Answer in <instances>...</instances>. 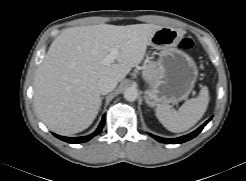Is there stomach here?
<instances>
[{
    "label": "stomach",
    "instance_id": "0dacf381",
    "mask_svg": "<svg viewBox=\"0 0 246 181\" xmlns=\"http://www.w3.org/2000/svg\"><path fill=\"white\" fill-rule=\"evenodd\" d=\"M182 38V30L162 27L150 39L149 44L159 51L160 72L156 79L147 81L145 100L150 107L180 102L194 88L198 68L188 54L177 48Z\"/></svg>",
    "mask_w": 246,
    "mask_h": 181
}]
</instances>
